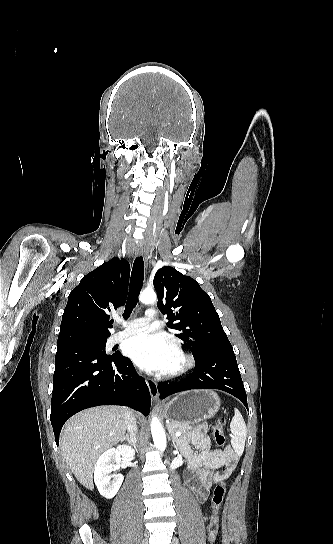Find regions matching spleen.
I'll return each mask as SVG.
<instances>
[{
    "label": "spleen",
    "mask_w": 333,
    "mask_h": 544,
    "mask_svg": "<svg viewBox=\"0 0 333 544\" xmlns=\"http://www.w3.org/2000/svg\"><path fill=\"white\" fill-rule=\"evenodd\" d=\"M230 429L233 434L231 438L232 447L236 454L241 455L245 447L247 428L244 418L237 408L234 409V416L230 423Z\"/></svg>",
    "instance_id": "spleen-1"
}]
</instances>
